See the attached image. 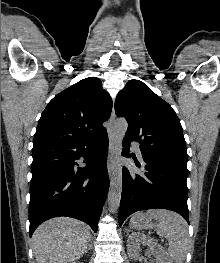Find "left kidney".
Wrapping results in <instances>:
<instances>
[{"mask_svg":"<svg viewBox=\"0 0 220 263\" xmlns=\"http://www.w3.org/2000/svg\"><path fill=\"white\" fill-rule=\"evenodd\" d=\"M141 244L148 246L149 252L156 258V263H172L160 244L139 233H132L127 240V253L131 259L137 260L140 258Z\"/></svg>","mask_w":220,"mask_h":263,"instance_id":"left-kidney-1","label":"left kidney"}]
</instances>
